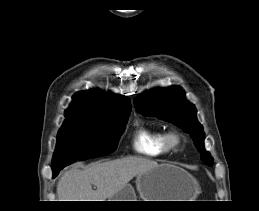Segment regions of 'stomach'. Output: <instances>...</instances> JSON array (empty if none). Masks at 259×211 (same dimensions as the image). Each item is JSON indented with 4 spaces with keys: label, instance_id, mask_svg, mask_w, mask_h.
Here are the masks:
<instances>
[{
    "label": "stomach",
    "instance_id": "stomach-1",
    "mask_svg": "<svg viewBox=\"0 0 259 211\" xmlns=\"http://www.w3.org/2000/svg\"><path fill=\"white\" fill-rule=\"evenodd\" d=\"M143 201H189L196 194V181L183 169L162 164L136 177ZM134 188L127 184L108 201H137Z\"/></svg>",
    "mask_w": 259,
    "mask_h": 211
}]
</instances>
